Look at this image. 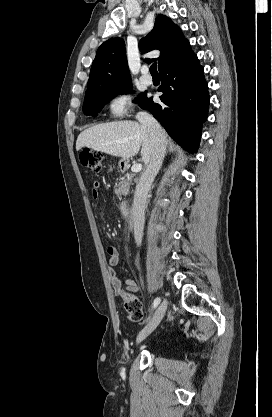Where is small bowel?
<instances>
[{"mask_svg":"<svg viewBox=\"0 0 272 417\" xmlns=\"http://www.w3.org/2000/svg\"><path fill=\"white\" fill-rule=\"evenodd\" d=\"M99 189L100 183L94 182L92 185V197L93 199H97L99 196ZM107 254L109 256V276L111 278L113 292L116 296L122 298V291H126L128 293H136L138 292L139 288L137 282L132 278H125L124 284L120 277L117 275L115 267H117L121 263V257L119 251L114 246H109L106 249Z\"/></svg>","mask_w":272,"mask_h":417,"instance_id":"1","label":"small bowel"}]
</instances>
